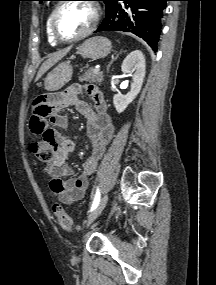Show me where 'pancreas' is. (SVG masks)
Instances as JSON below:
<instances>
[{"mask_svg":"<svg viewBox=\"0 0 216 285\" xmlns=\"http://www.w3.org/2000/svg\"><path fill=\"white\" fill-rule=\"evenodd\" d=\"M103 79H104L103 72L99 71L97 73H94L92 68L88 69L84 74L79 76L80 82L85 81L89 83H96L99 85H101Z\"/></svg>","mask_w":216,"mask_h":285,"instance_id":"pancreas-1","label":"pancreas"}]
</instances>
